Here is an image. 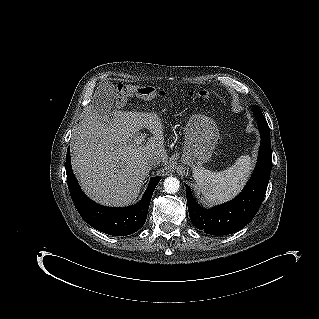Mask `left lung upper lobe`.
I'll return each instance as SVG.
<instances>
[{
    "label": "left lung upper lobe",
    "instance_id": "left-lung-upper-lobe-1",
    "mask_svg": "<svg viewBox=\"0 0 319 319\" xmlns=\"http://www.w3.org/2000/svg\"><path fill=\"white\" fill-rule=\"evenodd\" d=\"M254 114L256 119L265 120L260 108L258 106H254Z\"/></svg>",
    "mask_w": 319,
    "mask_h": 319
}]
</instances>
